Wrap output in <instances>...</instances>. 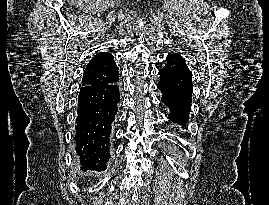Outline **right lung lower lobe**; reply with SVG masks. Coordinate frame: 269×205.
<instances>
[{"mask_svg": "<svg viewBox=\"0 0 269 205\" xmlns=\"http://www.w3.org/2000/svg\"><path fill=\"white\" fill-rule=\"evenodd\" d=\"M117 81L80 89L74 139L83 170L102 171L107 168L111 125L120 100Z\"/></svg>", "mask_w": 269, "mask_h": 205, "instance_id": "98d812e1", "label": "right lung lower lobe"}]
</instances>
